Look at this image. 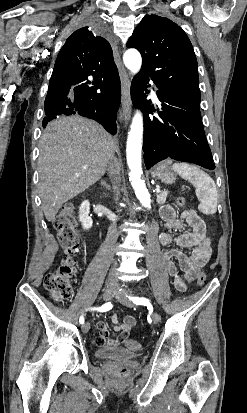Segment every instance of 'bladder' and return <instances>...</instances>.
Returning <instances> with one entry per match:
<instances>
[{"label": "bladder", "instance_id": "31cf9c89", "mask_svg": "<svg viewBox=\"0 0 247 413\" xmlns=\"http://www.w3.org/2000/svg\"><path fill=\"white\" fill-rule=\"evenodd\" d=\"M97 359H132L135 356V352L120 349L112 346H104L96 348Z\"/></svg>", "mask_w": 247, "mask_h": 413}]
</instances>
